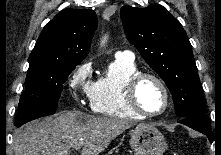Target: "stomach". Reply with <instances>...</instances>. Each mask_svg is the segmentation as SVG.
<instances>
[{
    "instance_id": "0dacf381",
    "label": "stomach",
    "mask_w": 221,
    "mask_h": 155,
    "mask_svg": "<svg viewBox=\"0 0 221 155\" xmlns=\"http://www.w3.org/2000/svg\"><path fill=\"white\" fill-rule=\"evenodd\" d=\"M135 155H163L168 146L162 133L152 125L139 124L130 132Z\"/></svg>"
}]
</instances>
